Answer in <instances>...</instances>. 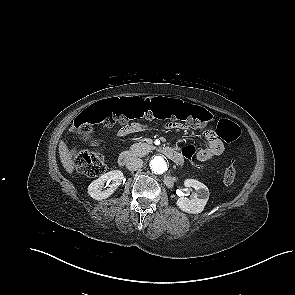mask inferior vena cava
I'll use <instances>...</instances> for the list:
<instances>
[{
    "mask_svg": "<svg viewBox=\"0 0 295 295\" xmlns=\"http://www.w3.org/2000/svg\"><path fill=\"white\" fill-rule=\"evenodd\" d=\"M143 166V160L137 157H131L127 163L126 168L130 171H136Z\"/></svg>",
    "mask_w": 295,
    "mask_h": 295,
    "instance_id": "1",
    "label": "inferior vena cava"
}]
</instances>
